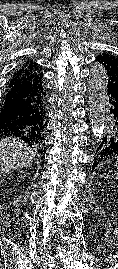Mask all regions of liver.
Returning a JSON list of instances; mask_svg holds the SVG:
<instances>
[{
	"label": "liver",
	"mask_w": 118,
	"mask_h": 269,
	"mask_svg": "<svg viewBox=\"0 0 118 269\" xmlns=\"http://www.w3.org/2000/svg\"><path fill=\"white\" fill-rule=\"evenodd\" d=\"M33 150L23 141L7 138L0 141V171L9 172L30 165Z\"/></svg>",
	"instance_id": "1"
}]
</instances>
